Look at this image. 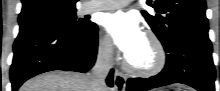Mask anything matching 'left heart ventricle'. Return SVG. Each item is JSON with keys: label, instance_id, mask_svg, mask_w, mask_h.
Listing matches in <instances>:
<instances>
[{"label": "left heart ventricle", "instance_id": "1", "mask_svg": "<svg viewBox=\"0 0 220 91\" xmlns=\"http://www.w3.org/2000/svg\"><path fill=\"white\" fill-rule=\"evenodd\" d=\"M136 67H148L154 61V50L151 42L144 37L138 47L127 57Z\"/></svg>", "mask_w": 220, "mask_h": 91}]
</instances>
